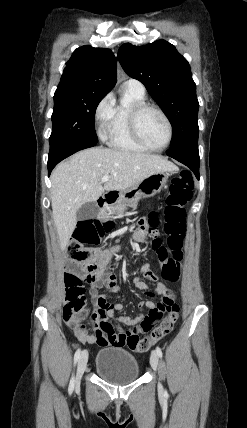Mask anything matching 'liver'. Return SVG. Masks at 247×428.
<instances>
[{"label": "liver", "instance_id": "1", "mask_svg": "<svg viewBox=\"0 0 247 428\" xmlns=\"http://www.w3.org/2000/svg\"><path fill=\"white\" fill-rule=\"evenodd\" d=\"M176 170L158 155L101 147L82 150L60 163L51 174V203L61 250L69 243L84 203L97 201L106 190L123 191L153 174ZM105 175L109 179L102 182Z\"/></svg>", "mask_w": 247, "mask_h": 428}]
</instances>
